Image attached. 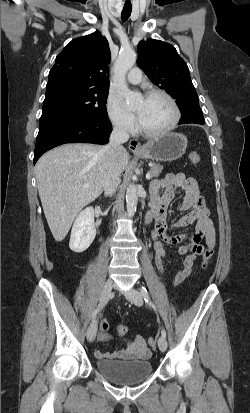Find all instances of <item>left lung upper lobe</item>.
<instances>
[{"label": "left lung upper lobe", "mask_w": 250, "mask_h": 413, "mask_svg": "<svg viewBox=\"0 0 250 413\" xmlns=\"http://www.w3.org/2000/svg\"><path fill=\"white\" fill-rule=\"evenodd\" d=\"M137 63L148 78L176 99L182 113H202L189 69L169 43L148 39L138 44Z\"/></svg>", "instance_id": "1"}]
</instances>
